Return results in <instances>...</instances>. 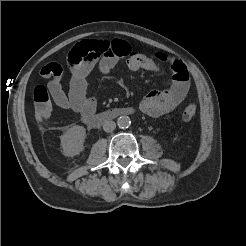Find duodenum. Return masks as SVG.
<instances>
[{
  "label": "duodenum",
  "mask_w": 246,
  "mask_h": 246,
  "mask_svg": "<svg viewBox=\"0 0 246 246\" xmlns=\"http://www.w3.org/2000/svg\"><path fill=\"white\" fill-rule=\"evenodd\" d=\"M134 109L130 107H114L103 112L83 117V121L92 128H99L103 123L125 115H132Z\"/></svg>",
  "instance_id": "1"
}]
</instances>
